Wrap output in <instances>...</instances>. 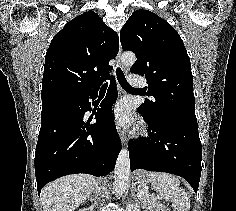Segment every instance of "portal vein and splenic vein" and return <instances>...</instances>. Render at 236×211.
<instances>
[{
	"label": "portal vein and splenic vein",
	"instance_id": "1",
	"mask_svg": "<svg viewBox=\"0 0 236 211\" xmlns=\"http://www.w3.org/2000/svg\"><path fill=\"white\" fill-rule=\"evenodd\" d=\"M147 192L146 191H140L139 193H138V197H141L143 194H146Z\"/></svg>",
	"mask_w": 236,
	"mask_h": 211
}]
</instances>
